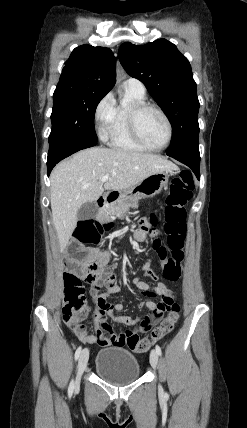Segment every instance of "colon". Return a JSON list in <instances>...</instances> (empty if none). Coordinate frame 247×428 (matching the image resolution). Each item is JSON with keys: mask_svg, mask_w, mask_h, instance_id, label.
<instances>
[{"mask_svg": "<svg viewBox=\"0 0 247 428\" xmlns=\"http://www.w3.org/2000/svg\"><path fill=\"white\" fill-rule=\"evenodd\" d=\"M194 190V180L189 172H182L172 180L170 192L166 198L165 208V233L166 245L160 239L153 241V248L156 250L162 265V277L170 282L177 281L182 274V263L185 258V205L192 197ZM98 219L81 222L75 236L76 243H97V237H104L105 231L112 230L113 219H108V224L98 225ZM140 224H145V219H140ZM155 224V218L151 219ZM81 261L82 264H78ZM67 266L72 272L64 276L65 297L62 307V318L66 324L76 333L86 331L81 323L87 315L85 289L81 283V277L75 273V269L80 266L83 278L89 284H97L102 278L101 267L94 259L91 252L83 251L78 245H72L68 252ZM149 309V317L137 323L139 332L151 334L149 337H139L133 329H127L120 334H115L110 324L104 322L106 316L105 309L98 306V310L93 315V322L100 328L94 332L96 340H101L102 331L108 334L107 339L116 346L126 345L134 352L142 353L149 349L153 342L158 341L168 335L175 327L178 319L180 307L172 298H154L152 300L139 299V308ZM167 314V315H166ZM166 315V316H165Z\"/></svg>", "mask_w": 247, "mask_h": 428, "instance_id": "1", "label": "colon"}]
</instances>
